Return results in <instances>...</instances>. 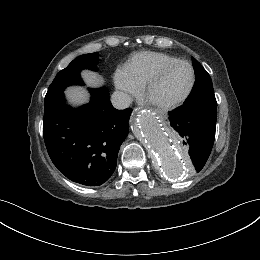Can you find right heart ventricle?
<instances>
[{
  "instance_id": "right-heart-ventricle-1",
  "label": "right heart ventricle",
  "mask_w": 260,
  "mask_h": 260,
  "mask_svg": "<svg viewBox=\"0 0 260 260\" xmlns=\"http://www.w3.org/2000/svg\"><path fill=\"white\" fill-rule=\"evenodd\" d=\"M177 60L180 59L167 53L141 52L128 60L124 71L134 82L144 85L161 67Z\"/></svg>"
}]
</instances>
